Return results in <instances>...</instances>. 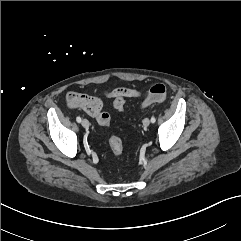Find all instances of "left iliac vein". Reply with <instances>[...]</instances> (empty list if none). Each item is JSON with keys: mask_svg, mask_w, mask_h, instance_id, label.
Instances as JSON below:
<instances>
[{"mask_svg": "<svg viewBox=\"0 0 241 241\" xmlns=\"http://www.w3.org/2000/svg\"><path fill=\"white\" fill-rule=\"evenodd\" d=\"M150 125V120L148 119V118H145L144 120H143V126L144 127H148Z\"/></svg>", "mask_w": 241, "mask_h": 241, "instance_id": "obj_1", "label": "left iliac vein"}]
</instances>
